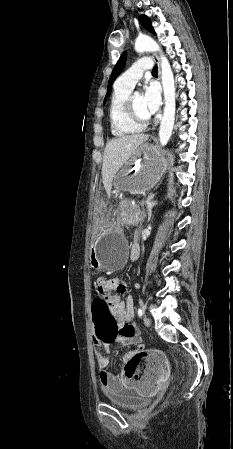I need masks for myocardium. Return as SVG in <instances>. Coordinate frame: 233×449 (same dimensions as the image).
<instances>
[{
	"mask_svg": "<svg viewBox=\"0 0 233 449\" xmlns=\"http://www.w3.org/2000/svg\"><path fill=\"white\" fill-rule=\"evenodd\" d=\"M134 95L135 94L130 93L129 96L126 98L125 112L132 122L144 127L150 122L151 117L150 115L141 116L138 114L134 105Z\"/></svg>",
	"mask_w": 233,
	"mask_h": 449,
	"instance_id": "f54148a6",
	"label": "myocardium"
}]
</instances>
